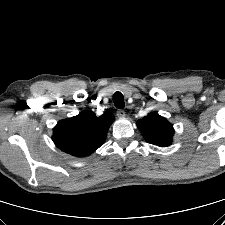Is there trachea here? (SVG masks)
<instances>
[{
	"label": "trachea",
	"mask_w": 225,
	"mask_h": 225,
	"mask_svg": "<svg viewBox=\"0 0 225 225\" xmlns=\"http://www.w3.org/2000/svg\"><path fill=\"white\" fill-rule=\"evenodd\" d=\"M113 102L117 108L123 109L125 106V103H124V97L122 93L115 92L113 95Z\"/></svg>",
	"instance_id": "obj_1"
}]
</instances>
